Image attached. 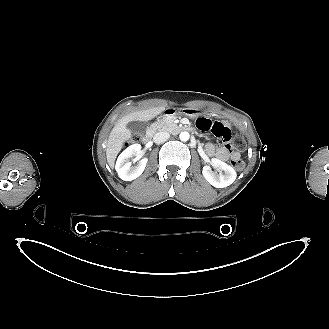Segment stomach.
<instances>
[{
  "label": "stomach",
  "mask_w": 329,
  "mask_h": 329,
  "mask_svg": "<svg viewBox=\"0 0 329 329\" xmlns=\"http://www.w3.org/2000/svg\"><path fill=\"white\" fill-rule=\"evenodd\" d=\"M185 114L189 117H195L198 113H197V110L196 109H193V108H184V109H181V110H176L174 108H171L169 109V112L167 114H165V116L167 117H174L175 115L177 114Z\"/></svg>",
  "instance_id": "0dacf381"
}]
</instances>
